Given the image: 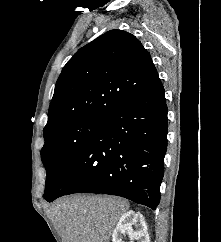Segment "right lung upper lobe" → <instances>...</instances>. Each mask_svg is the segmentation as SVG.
I'll return each mask as SVG.
<instances>
[{"instance_id":"1","label":"right lung upper lobe","mask_w":221,"mask_h":242,"mask_svg":"<svg viewBox=\"0 0 221 242\" xmlns=\"http://www.w3.org/2000/svg\"><path fill=\"white\" fill-rule=\"evenodd\" d=\"M158 78L148 51L132 34L111 30L80 48L55 86L44 133L83 118H105Z\"/></svg>"}]
</instances>
